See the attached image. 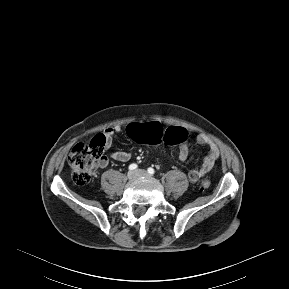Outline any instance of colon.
<instances>
[{"label": "colon", "mask_w": 289, "mask_h": 289, "mask_svg": "<svg viewBox=\"0 0 289 289\" xmlns=\"http://www.w3.org/2000/svg\"><path fill=\"white\" fill-rule=\"evenodd\" d=\"M126 136L139 143H158L164 141L169 144L186 140L188 133L179 127H169L162 121L133 122L125 129ZM105 138L102 135L94 137L89 143H78L68 156V163L72 170V177L77 185L83 186L90 182L94 171L104 160ZM211 182L208 178L201 181L202 189H208Z\"/></svg>", "instance_id": "5ec220e1"}]
</instances>
